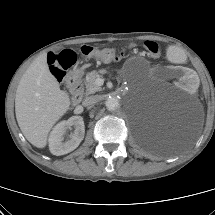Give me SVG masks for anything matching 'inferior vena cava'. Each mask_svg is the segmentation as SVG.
Returning <instances> with one entry per match:
<instances>
[{
	"label": "inferior vena cava",
	"instance_id": "1",
	"mask_svg": "<svg viewBox=\"0 0 215 215\" xmlns=\"http://www.w3.org/2000/svg\"><path fill=\"white\" fill-rule=\"evenodd\" d=\"M99 101V97L98 96H90V97H86L83 102L82 105L85 107L91 106L96 104Z\"/></svg>",
	"mask_w": 215,
	"mask_h": 215
}]
</instances>
